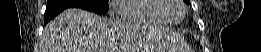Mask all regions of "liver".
<instances>
[{
  "label": "liver",
  "mask_w": 261,
  "mask_h": 52,
  "mask_svg": "<svg viewBox=\"0 0 261 52\" xmlns=\"http://www.w3.org/2000/svg\"><path fill=\"white\" fill-rule=\"evenodd\" d=\"M138 33L139 27L136 24L103 18L78 8H68L45 26L40 52L137 51L140 47L137 42H133V38L137 39ZM164 34L165 31L158 33L160 38ZM154 48L152 46L149 50Z\"/></svg>",
  "instance_id": "obj_1"
}]
</instances>
